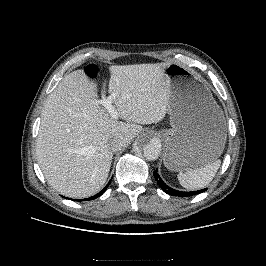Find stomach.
I'll list each match as a JSON object with an SVG mask.
<instances>
[{"label": "stomach", "instance_id": "0dacf381", "mask_svg": "<svg viewBox=\"0 0 266 266\" xmlns=\"http://www.w3.org/2000/svg\"><path fill=\"white\" fill-rule=\"evenodd\" d=\"M165 76L169 80L168 113L172 128L160 132L166 146L164 165L176 172L203 167L215 161L225 147L223 111L194 71L170 63Z\"/></svg>", "mask_w": 266, "mask_h": 266}]
</instances>
